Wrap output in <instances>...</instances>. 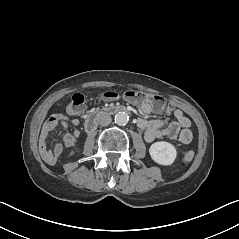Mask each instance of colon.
<instances>
[{
    "label": "colon",
    "instance_id": "5ec220e1",
    "mask_svg": "<svg viewBox=\"0 0 239 239\" xmlns=\"http://www.w3.org/2000/svg\"><path fill=\"white\" fill-rule=\"evenodd\" d=\"M101 98L104 100H116L119 98L135 102V103H150L152 107L155 110L162 111L164 109H170V105L167 103V101L154 94H149L141 91H135V90H128L122 94H118L113 91L105 92L101 95ZM85 103H86V92L85 91H79L75 93L69 104L67 105L66 111L69 115H80L84 109H85ZM194 157L193 151H188L185 153L183 160L185 162H190Z\"/></svg>",
    "mask_w": 239,
    "mask_h": 239
}]
</instances>
